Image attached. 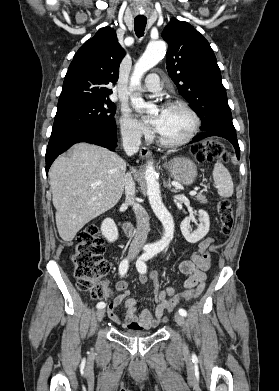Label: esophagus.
<instances>
[{
    "instance_id": "obj_1",
    "label": "esophagus",
    "mask_w": 279,
    "mask_h": 391,
    "mask_svg": "<svg viewBox=\"0 0 279 391\" xmlns=\"http://www.w3.org/2000/svg\"><path fill=\"white\" fill-rule=\"evenodd\" d=\"M150 155H151V151H150L148 148L142 147V148L140 149V156H141L142 158H147V157H149Z\"/></svg>"
}]
</instances>
